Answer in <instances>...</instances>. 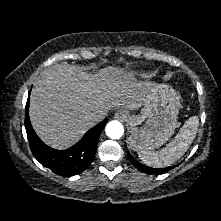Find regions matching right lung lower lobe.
Segmentation results:
<instances>
[{
  "mask_svg": "<svg viewBox=\"0 0 221 221\" xmlns=\"http://www.w3.org/2000/svg\"><path fill=\"white\" fill-rule=\"evenodd\" d=\"M29 96L26 104L25 128L34 157L45 167L61 176H74L82 173L94 160L99 136L107 123L90 129L72 148L56 150L44 144L33 130L29 120Z\"/></svg>",
  "mask_w": 221,
  "mask_h": 221,
  "instance_id": "right-lung-lower-lobe-1",
  "label": "right lung lower lobe"
}]
</instances>
